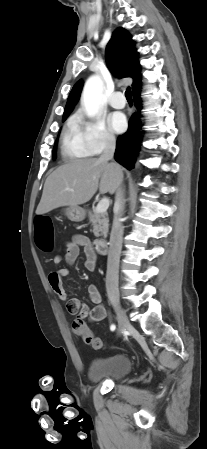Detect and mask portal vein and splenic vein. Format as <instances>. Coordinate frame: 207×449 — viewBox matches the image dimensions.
I'll return each mask as SVG.
<instances>
[{"mask_svg": "<svg viewBox=\"0 0 207 449\" xmlns=\"http://www.w3.org/2000/svg\"><path fill=\"white\" fill-rule=\"evenodd\" d=\"M108 207H109V199L102 198L96 207V211L99 213H104L107 211Z\"/></svg>", "mask_w": 207, "mask_h": 449, "instance_id": "portal-vein-and-splenic-vein-1", "label": "portal vein and splenic vein"}]
</instances>
